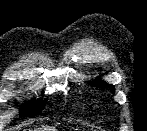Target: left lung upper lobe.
<instances>
[{"instance_id": "left-lung-upper-lobe-1", "label": "left lung upper lobe", "mask_w": 147, "mask_h": 131, "mask_svg": "<svg viewBox=\"0 0 147 131\" xmlns=\"http://www.w3.org/2000/svg\"><path fill=\"white\" fill-rule=\"evenodd\" d=\"M89 84L101 88H109L112 92L115 91V87L113 85L107 84L106 82L100 81L99 79L96 81H91Z\"/></svg>"}]
</instances>
